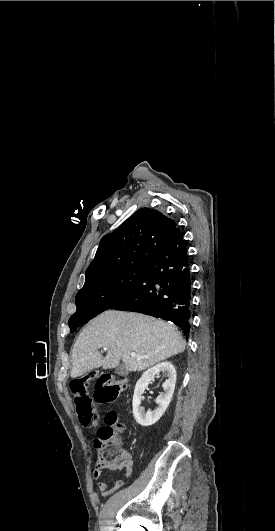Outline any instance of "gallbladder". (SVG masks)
I'll list each match as a JSON object with an SVG mask.
<instances>
[{"label": "gallbladder", "instance_id": "bac80fb5", "mask_svg": "<svg viewBox=\"0 0 275 531\" xmlns=\"http://www.w3.org/2000/svg\"><path fill=\"white\" fill-rule=\"evenodd\" d=\"M115 373L120 375V377H125V375H128V371L123 363H119L118 367L115 369Z\"/></svg>", "mask_w": 275, "mask_h": 531}]
</instances>
